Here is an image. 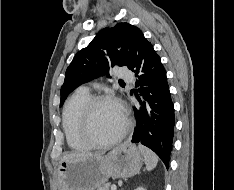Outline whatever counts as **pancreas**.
Here are the masks:
<instances>
[{"mask_svg": "<svg viewBox=\"0 0 234 190\" xmlns=\"http://www.w3.org/2000/svg\"><path fill=\"white\" fill-rule=\"evenodd\" d=\"M109 189H110V184H105L97 188V190H109Z\"/></svg>", "mask_w": 234, "mask_h": 190, "instance_id": "cf45deb5", "label": "pancreas"}]
</instances>
